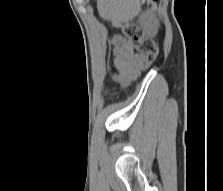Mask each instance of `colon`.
<instances>
[{
  "label": "colon",
  "mask_w": 223,
  "mask_h": 191,
  "mask_svg": "<svg viewBox=\"0 0 223 191\" xmlns=\"http://www.w3.org/2000/svg\"><path fill=\"white\" fill-rule=\"evenodd\" d=\"M154 3L155 0H148ZM124 36L129 40L134 49L142 55L143 61L140 70L147 69L158 56L157 45L145 37L143 31L134 23H126L122 26Z\"/></svg>",
  "instance_id": "obj_1"
}]
</instances>
